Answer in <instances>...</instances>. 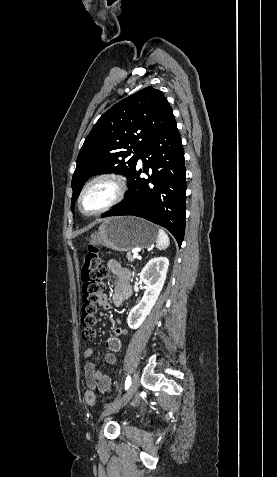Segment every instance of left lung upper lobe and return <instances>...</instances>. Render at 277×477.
Wrapping results in <instances>:
<instances>
[{"label": "left lung upper lobe", "instance_id": "obj_1", "mask_svg": "<svg viewBox=\"0 0 277 477\" xmlns=\"http://www.w3.org/2000/svg\"><path fill=\"white\" fill-rule=\"evenodd\" d=\"M173 117L167 99L153 87L134 93L106 111L79 152L71 183L72 211L89 177L117 172L129 179L137 168L142 149Z\"/></svg>", "mask_w": 277, "mask_h": 477}]
</instances>
